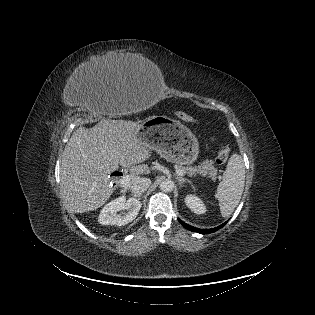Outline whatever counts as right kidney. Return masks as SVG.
<instances>
[{"mask_svg":"<svg viewBox=\"0 0 315 315\" xmlns=\"http://www.w3.org/2000/svg\"><path fill=\"white\" fill-rule=\"evenodd\" d=\"M141 206L142 203L138 199L129 198L126 200L125 196H120L103 207L98 221L102 225L124 226L137 217ZM122 210H127V212L117 214Z\"/></svg>","mask_w":315,"mask_h":315,"instance_id":"right-kidney-1","label":"right kidney"}]
</instances>
